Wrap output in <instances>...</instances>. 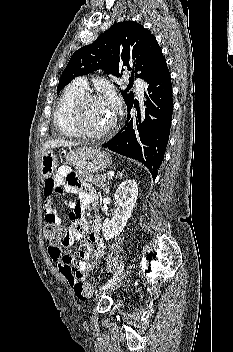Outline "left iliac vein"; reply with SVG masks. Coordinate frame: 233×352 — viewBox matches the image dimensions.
<instances>
[{"label": "left iliac vein", "mask_w": 233, "mask_h": 352, "mask_svg": "<svg viewBox=\"0 0 233 352\" xmlns=\"http://www.w3.org/2000/svg\"><path fill=\"white\" fill-rule=\"evenodd\" d=\"M131 272H132V266H129L112 285H110L108 288L104 290H100L96 295L95 300L96 301L99 300L103 295L110 293L115 289H117L118 287H120L121 284L130 276Z\"/></svg>", "instance_id": "4c4485c4"}]
</instances>
